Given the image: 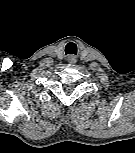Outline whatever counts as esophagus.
<instances>
[{
  "label": "esophagus",
  "instance_id": "1",
  "mask_svg": "<svg viewBox=\"0 0 135 153\" xmlns=\"http://www.w3.org/2000/svg\"><path fill=\"white\" fill-rule=\"evenodd\" d=\"M68 62L71 63V64L75 63L76 62V57L74 55H70L68 57Z\"/></svg>",
  "mask_w": 135,
  "mask_h": 153
}]
</instances>
